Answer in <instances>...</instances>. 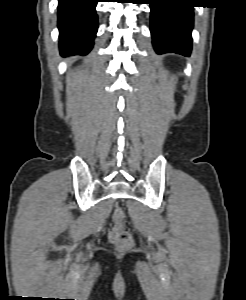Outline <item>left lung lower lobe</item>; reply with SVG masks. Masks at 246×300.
Instances as JSON below:
<instances>
[{
	"label": "left lung lower lobe",
	"mask_w": 246,
	"mask_h": 300,
	"mask_svg": "<svg viewBox=\"0 0 246 300\" xmlns=\"http://www.w3.org/2000/svg\"><path fill=\"white\" fill-rule=\"evenodd\" d=\"M151 35L158 54L189 56L192 48L193 5L190 0H149Z\"/></svg>",
	"instance_id": "1"
}]
</instances>
